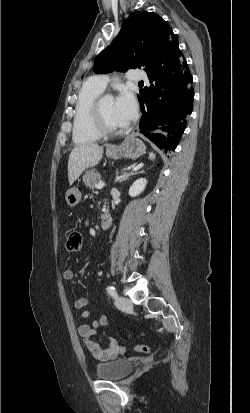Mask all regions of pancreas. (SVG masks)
<instances>
[{"label":"pancreas","instance_id":"cf45deb5","mask_svg":"<svg viewBox=\"0 0 250 413\" xmlns=\"http://www.w3.org/2000/svg\"><path fill=\"white\" fill-rule=\"evenodd\" d=\"M100 174L95 169H90L83 175V182L86 187L90 189L96 188V185L100 182Z\"/></svg>","mask_w":250,"mask_h":413}]
</instances>
